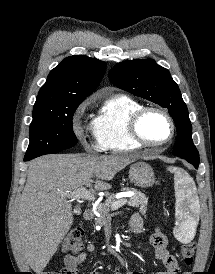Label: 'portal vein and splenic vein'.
I'll list each match as a JSON object with an SVG mask.
<instances>
[{
  "mask_svg": "<svg viewBox=\"0 0 215 274\" xmlns=\"http://www.w3.org/2000/svg\"><path fill=\"white\" fill-rule=\"evenodd\" d=\"M67 197L70 199H84L88 201H94L95 196L93 193L89 192L85 187H80L75 191H70L67 193ZM127 203L126 199H120L114 202L111 206V210H117Z\"/></svg>",
  "mask_w": 215,
  "mask_h": 274,
  "instance_id": "1",
  "label": "portal vein and splenic vein"
}]
</instances>
